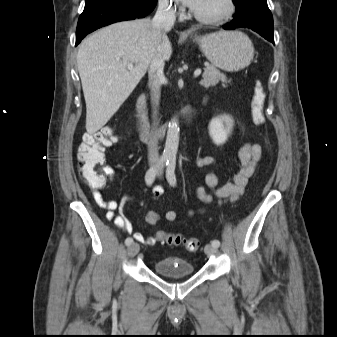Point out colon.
Listing matches in <instances>:
<instances>
[{"label":"colon","mask_w":337,"mask_h":337,"mask_svg":"<svg viewBox=\"0 0 337 337\" xmlns=\"http://www.w3.org/2000/svg\"><path fill=\"white\" fill-rule=\"evenodd\" d=\"M266 92L260 82L253 85L251 100L252 118L255 124L265 123L264 105ZM117 139L111 129H102L94 133H85L77 150V158L82 177L94 189L102 188L106 183L104 174L105 149L111 146ZM157 239L168 245L183 246L188 251H196L200 242L197 238L186 237L178 233L158 231Z\"/></svg>","instance_id":"obj_1"}]
</instances>
